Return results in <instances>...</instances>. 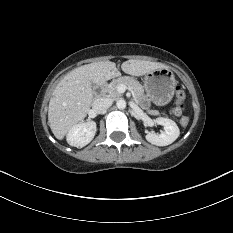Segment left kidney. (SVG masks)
<instances>
[{
  "label": "left kidney",
  "instance_id": "left-kidney-1",
  "mask_svg": "<svg viewBox=\"0 0 233 233\" xmlns=\"http://www.w3.org/2000/svg\"><path fill=\"white\" fill-rule=\"evenodd\" d=\"M155 122L158 125H162L164 127V131L160 134H154L149 132L146 135V140L151 144L157 146H166L173 143L179 137V128L173 120L158 117L156 118Z\"/></svg>",
  "mask_w": 233,
  "mask_h": 233
}]
</instances>
